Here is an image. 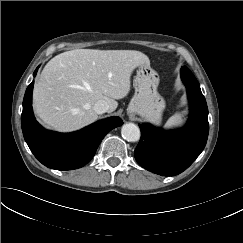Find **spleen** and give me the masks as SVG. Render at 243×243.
I'll return each mask as SVG.
<instances>
[{
  "label": "spleen",
  "instance_id": "3e777b00",
  "mask_svg": "<svg viewBox=\"0 0 243 243\" xmlns=\"http://www.w3.org/2000/svg\"><path fill=\"white\" fill-rule=\"evenodd\" d=\"M182 117H183V115H182L181 112L175 113L167 121L166 127L167 128H172V127H176V126L182 125V123H183V118Z\"/></svg>",
  "mask_w": 243,
  "mask_h": 243
}]
</instances>
